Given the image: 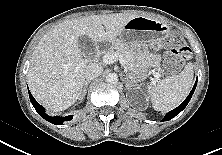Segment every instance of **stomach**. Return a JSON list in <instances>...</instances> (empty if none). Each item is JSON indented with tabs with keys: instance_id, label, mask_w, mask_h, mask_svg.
<instances>
[{
	"instance_id": "obj_1",
	"label": "stomach",
	"mask_w": 222,
	"mask_h": 155,
	"mask_svg": "<svg viewBox=\"0 0 222 155\" xmlns=\"http://www.w3.org/2000/svg\"><path fill=\"white\" fill-rule=\"evenodd\" d=\"M169 34L170 26L168 24L160 20L136 16L124 26L118 42L135 48L142 46L144 49L152 47L158 50ZM134 52L136 64L129 68L128 74L131 83L145 79L153 66V59L148 56L147 50H134Z\"/></svg>"
}]
</instances>
